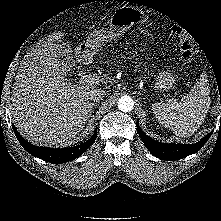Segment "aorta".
<instances>
[{
	"mask_svg": "<svg viewBox=\"0 0 221 221\" xmlns=\"http://www.w3.org/2000/svg\"><path fill=\"white\" fill-rule=\"evenodd\" d=\"M134 102L129 96H122L118 101V108L123 112H129L133 109Z\"/></svg>",
	"mask_w": 221,
	"mask_h": 221,
	"instance_id": "obj_1",
	"label": "aorta"
}]
</instances>
